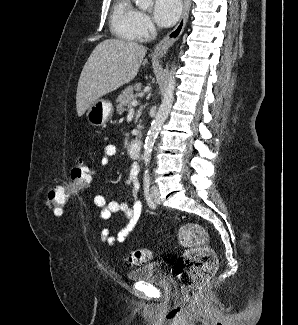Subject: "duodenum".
I'll use <instances>...</instances> for the list:
<instances>
[{"label":"duodenum","instance_id":"obj_1","mask_svg":"<svg viewBox=\"0 0 298 325\" xmlns=\"http://www.w3.org/2000/svg\"><path fill=\"white\" fill-rule=\"evenodd\" d=\"M128 152L131 157L139 158L142 152V142L139 139H133L128 144Z\"/></svg>","mask_w":298,"mask_h":325}]
</instances>
